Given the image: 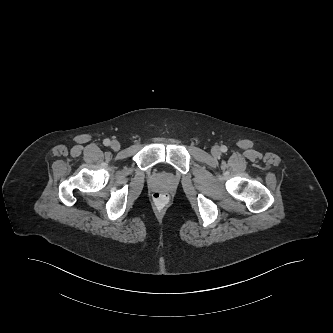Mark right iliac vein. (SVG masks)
<instances>
[{"mask_svg":"<svg viewBox=\"0 0 333 333\" xmlns=\"http://www.w3.org/2000/svg\"><path fill=\"white\" fill-rule=\"evenodd\" d=\"M111 148L114 151H118L120 149V143L117 140L111 142Z\"/></svg>","mask_w":333,"mask_h":333,"instance_id":"63e3f726","label":"right iliac vein"}]
</instances>
